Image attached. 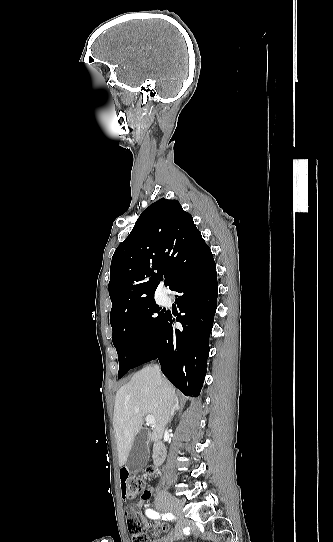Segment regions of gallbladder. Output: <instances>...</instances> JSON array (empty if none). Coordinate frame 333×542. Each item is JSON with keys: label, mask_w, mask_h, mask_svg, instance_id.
I'll return each mask as SVG.
<instances>
[{"label": "gallbladder", "mask_w": 333, "mask_h": 542, "mask_svg": "<svg viewBox=\"0 0 333 542\" xmlns=\"http://www.w3.org/2000/svg\"><path fill=\"white\" fill-rule=\"evenodd\" d=\"M148 432L149 430H147V428H142L134 440L132 450L126 462V468L130 474L141 472L142 468H144L148 462Z\"/></svg>", "instance_id": "obj_1"}]
</instances>
